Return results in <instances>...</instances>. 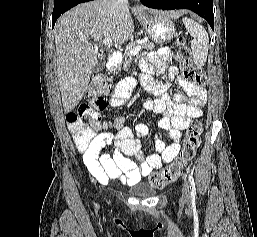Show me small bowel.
Instances as JSON below:
<instances>
[{"label":"small bowel","instance_id":"obj_1","mask_svg":"<svg viewBox=\"0 0 257 237\" xmlns=\"http://www.w3.org/2000/svg\"><path fill=\"white\" fill-rule=\"evenodd\" d=\"M170 59L171 51L162 48L147 55L142 69L146 75L159 70L173 77L174 67L166 65ZM178 82L184 92H177L172 98L165 93V83L146 81L144 84L145 88L163 94L160 98L144 101L143 108L161 116L158 126L167 131L170 138V143L167 144L155 137L156 153L153 154L145 155L141 150L140 139L146 137L149 132L147 125L138 124L131 129L126 125L125 116H117L106 121L100 114V111L107 107L117 108L127 102L136 85L134 79L124 78L119 81L109 100L95 105L80 106L79 114L87 120V131L92 135V140L86 146H81L75 138L74 142L86 168L98 183L106 185L109 179L115 178L123 185H131L177 157L181 148L182 132L194 119L202 115L207 97L203 88L192 85L181 77H178ZM186 97L188 101H185ZM110 129H114L115 132ZM110 148H114L112 154L109 153ZM129 156L134 157L138 164L131 161Z\"/></svg>","mask_w":257,"mask_h":237}]
</instances>
